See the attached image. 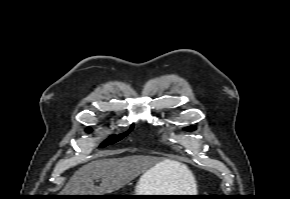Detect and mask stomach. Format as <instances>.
<instances>
[{"mask_svg": "<svg viewBox=\"0 0 290 199\" xmlns=\"http://www.w3.org/2000/svg\"><path fill=\"white\" fill-rule=\"evenodd\" d=\"M159 166H154L140 177L135 193L133 195H174L169 191L167 182L159 177ZM142 199L145 196H137ZM152 199H165L164 197H151ZM170 199H181L179 197H171Z\"/></svg>", "mask_w": 290, "mask_h": 199, "instance_id": "0dacf381", "label": "stomach"}]
</instances>
